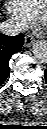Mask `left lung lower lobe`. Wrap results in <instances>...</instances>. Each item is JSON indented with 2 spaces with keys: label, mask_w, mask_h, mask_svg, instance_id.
<instances>
[{
  "label": "left lung lower lobe",
  "mask_w": 47,
  "mask_h": 129,
  "mask_svg": "<svg viewBox=\"0 0 47 129\" xmlns=\"http://www.w3.org/2000/svg\"><path fill=\"white\" fill-rule=\"evenodd\" d=\"M45 78H46V82H47V69L45 70Z\"/></svg>",
  "instance_id": "1"
}]
</instances>
